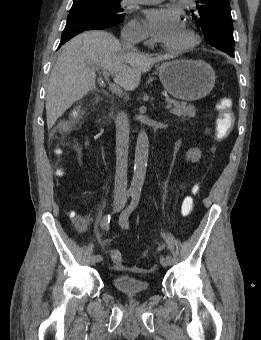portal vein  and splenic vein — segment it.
Here are the masks:
<instances>
[{"mask_svg":"<svg viewBox=\"0 0 261 340\" xmlns=\"http://www.w3.org/2000/svg\"><path fill=\"white\" fill-rule=\"evenodd\" d=\"M95 69L98 70L99 68L96 67ZM100 70H101V73H102L104 79H105L106 81H108V83H109V89H110V91H111L112 93H114V94H117V95L121 94L122 90H121L117 85H115V84L109 82V76H110L109 71H108L107 69H105V68H101ZM165 108H166V109H171V108H172V104H167V105L165 106Z\"/></svg>","mask_w":261,"mask_h":340,"instance_id":"portal-vein-and-splenic-vein-1","label":"portal vein and splenic vein"}]
</instances>
